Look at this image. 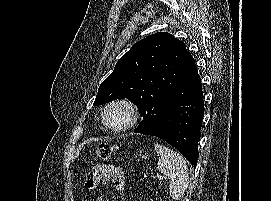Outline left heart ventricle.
Listing matches in <instances>:
<instances>
[{"mask_svg": "<svg viewBox=\"0 0 271 201\" xmlns=\"http://www.w3.org/2000/svg\"><path fill=\"white\" fill-rule=\"evenodd\" d=\"M107 123L113 127H120L127 123L129 114L125 108L116 106L111 108L106 114Z\"/></svg>", "mask_w": 271, "mask_h": 201, "instance_id": "b2bd125f", "label": "left heart ventricle"}]
</instances>
